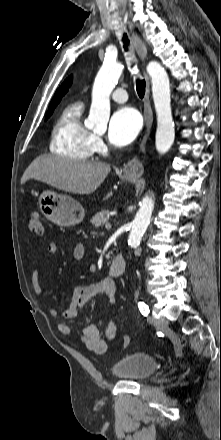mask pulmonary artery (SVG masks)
<instances>
[{
  "instance_id": "1",
  "label": "pulmonary artery",
  "mask_w": 221,
  "mask_h": 440,
  "mask_svg": "<svg viewBox=\"0 0 221 440\" xmlns=\"http://www.w3.org/2000/svg\"><path fill=\"white\" fill-rule=\"evenodd\" d=\"M111 98L117 103H124L128 99L127 92L123 88H117L113 91Z\"/></svg>"
}]
</instances>
